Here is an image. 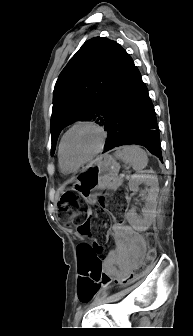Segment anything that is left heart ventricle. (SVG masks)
Instances as JSON below:
<instances>
[{
    "instance_id": "left-heart-ventricle-1",
    "label": "left heart ventricle",
    "mask_w": 193,
    "mask_h": 336,
    "mask_svg": "<svg viewBox=\"0 0 193 336\" xmlns=\"http://www.w3.org/2000/svg\"><path fill=\"white\" fill-rule=\"evenodd\" d=\"M100 134L88 126H80L71 131L64 145L66 157L73 162H79L90 156L100 144Z\"/></svg>"
}]
</instances>
